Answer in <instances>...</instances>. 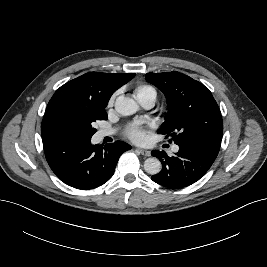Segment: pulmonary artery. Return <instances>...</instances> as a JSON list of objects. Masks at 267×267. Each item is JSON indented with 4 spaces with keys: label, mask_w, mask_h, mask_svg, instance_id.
Masks as SVG:
<instances>
[{
    "label": "pulmonary artery",
    "mask_w": 267,
    "mask_h": 267,
    "mask_svg": "<svg viewBox=\"0 0 267 267\" xmlns=\"http://www.w3.org/2000/svg\"><path fill=\"white\" fill-rule=\"evenodd\" d=\"M155 100L156 99L150 97V98H147V99H144V100L140 101V103L146 109H150V108H152L154 106ZM110 134H111L110 131H105V130H102V131L99 132V136L100 137H105V136H108ZM172 150L174 152H177L179 150V147L175 145V146H173Z\"/></svg>",
    "instance_id": "obj_1"
}]
</instances>
